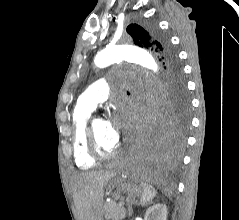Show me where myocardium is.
Returning <instances> with one entry per match:
<instances>
[{"mask_svg":"<svg viewBox=\"0 0 239 220\" xmlns=\"http://www.w3.org/2000/svg\"><path fill=\"white\" fill-rule=\"evenodd\" d=\"M96 118H91L88 120L87 128H86V145L88 153L91 157H93L95 160H103V159H109L114 157L118 154L120 151L121 145L117 143V145L110 151L104 152L100 149L97 139L94 132V121Z\"/></svg>","mask_w":239,"mask_h":220,"instance_id":"obj_1","label":"myocardium"}]
</instances>
